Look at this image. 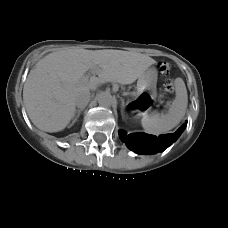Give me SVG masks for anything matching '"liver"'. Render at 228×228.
<instances>
[{
    "instance_id": "obj_1",
    "label": "liver",
    "mask_w": 228,
    "mask_h": 228,
    "mask_svg": "<svg viewBox=\"0 0 228 228\" xmlns=\"http://www.w3.org/2000/svg\"><path fill=\"white\" fill-rule=\"evenodd\" d=\"M155 60L141 53L122 50L69 49L51 53L30 71L23 88V101L30 120L40 130L59 132L75 115L74 97L95 90L100 83L135 82ZM92 70L98 78L83 81Z\"/></svg>"
}]
</instances>
